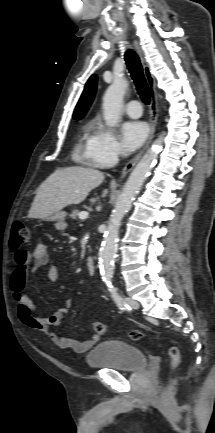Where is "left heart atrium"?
Masks as SVG:
<instances>
[{"label":"left heart atrium","mask_w":215,"mask_h":433,"mask_svg":"<svg viewBox=\"0 0 215 433\" xmlns=\"http://www.w3.org/2000/svg\"><path fill=\"white\" fill-rule=\"evenodd\" d=\"M147 125L141 121H128L122 125V144L127 152L136 150L146 139Z\"/></svg>","instance_id":"left-heart-atrium-1"}]
</instances>
